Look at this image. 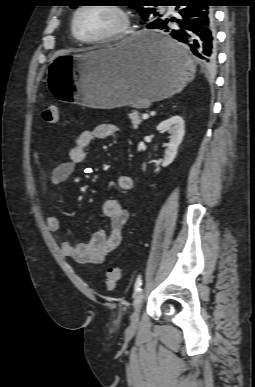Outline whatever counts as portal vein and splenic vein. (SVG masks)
<instances>
[{
    "instance_id": "18ae733b",
    "label": "portal vein and splenic vein",
    "mask_w": 255,
    "mask_h": 387,
    "mask_svg": "<svg viewBox=\"0 0 255 387\" xmlns=\"http://www.w3.org/2000/svg\"><path fill=\"white\" fill-rule=\"evenodd\" d=\"M142 118H143V119H148V118H149V115L145 113V114L142 115Z\"/></svg>"
}]
</instances>
